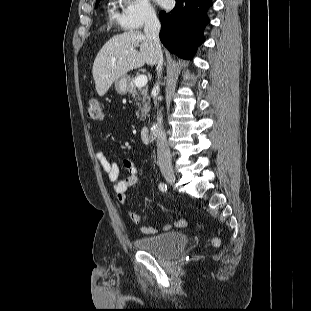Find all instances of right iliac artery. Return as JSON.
Listing matches in <instances>:
<instances>
[{"mask_svg":"<svg viewBox=\"0 0 311 311\" xmlns=\"http://www.w3.org/2000/svg\"><path fill=\"white\" fill-rule=\"evenodd\" d=\"M159 189L162 191V192H166L167 191V185L165 183H160L159 184Z\"/></svg>","mask_w":311,"mask_h":311,"instance_id":"1","label":"right iliac artery"}]
</instances>
